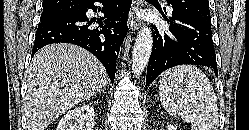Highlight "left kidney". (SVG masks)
Returning a JSON list of instances; mask_svg holds the SVG:
<instances>
[{"label":"left kidney","instance_id":"5707ae66","mask_svg":"<svg viewBox=\"0 0 249 130\" xmlns=\"http://www.w3.org/2000/svg\"><path fill=\"white\" fill-rule=\"evenodd\" d=\"M167 130H177L175 126L169 124L167 125Z\"/></svg>","mask_w":249,"mask_h":130}]
</instances>
